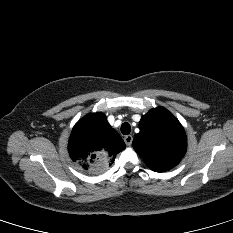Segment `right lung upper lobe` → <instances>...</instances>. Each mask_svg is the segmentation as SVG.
Masks as SVG:
<instances>
[{
  "instance_id": "1",
  "label": "right lung upper lobe",
  "mask_w": 233,
  "mask_h": 233,
  "mask_svg": "<svg viewBox=\"0 0 233 233\" xmlns=\"http://www.w3.org/2000/svg\"><path fill=\"white\" fill-rule=\"evenodd\" d=\"M124 149V141L100 112L80 119L72 130L68 144L71 159L92 174L105 171Z\"/></svg>"
}]
</instances>
